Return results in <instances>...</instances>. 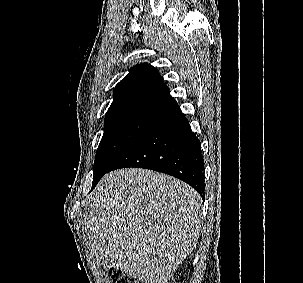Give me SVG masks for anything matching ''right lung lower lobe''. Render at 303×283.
Listing matches in <instances>:
<instances>
[{"label": "right lung lower lobe", "mask_w": 303, "mask_h": 283, "mask_svg": "<svg viewBox=\"0 0 303 283\" xmlns=\"http://www.w3.org/2000/svg\"><path fill=\"white\" fill-rule=\"evenodd\" d=\"M125 167L151 169L174 176L191 185L204 199L200 141L178 105L156 117L108 172Z\"/></svg>", "instance_id": "obj_1"}]
</instances>
